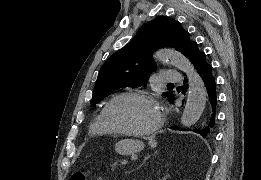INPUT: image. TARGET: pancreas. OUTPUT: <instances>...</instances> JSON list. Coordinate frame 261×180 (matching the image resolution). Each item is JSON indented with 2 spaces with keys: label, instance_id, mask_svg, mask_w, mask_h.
I'll list each match as a JSON object with an SVG mask.
<instances>
[{
  "label": "pancreas",
  "instance_id": "pancreas-1",
  "mask_svg": "<svg viewBox=\"0 0 261 180\" xmlns=\"http://www.w3.org/2000/svg\"><path fill=\"white\" fill-rule=\"evenodd\" d=\"M109 168L110 170H120L118 159H111V162H109Z\"/></svg>",
  "mask_w": 261,
  "mask_h": 180
}]
</instances>
